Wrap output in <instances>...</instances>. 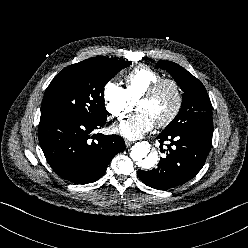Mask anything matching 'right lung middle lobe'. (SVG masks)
<instances>
[{
    "label": "right lung middle lobe",
    "instance_id": "obj_1",
    "mask_svg": "<svg viewBox=\"0 0 248 248\" xmlns=\"http://www.w3.org/2000/svg\"><path fill=\"white\" fill-rule=\"evenodd\" d=\"M131 62L93 57L64 68L45 91L41 116L106 120L104 86Z\"/></svg>",
    "mask_w": 248,
    "mask_h": 248
}]
</instances>
